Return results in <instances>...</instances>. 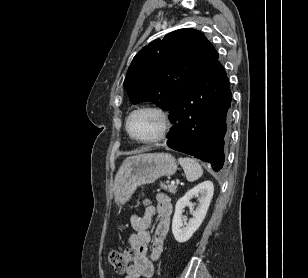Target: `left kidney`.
<instances>
[{
	"label": "left kidney",
	"mask_w": 308,
	"mask_h": 278,
	"mask_svg": "<svg viewBox=\"0 0 308 278\" xmlns=\"http://www.w3.org/2000/svg\"><path fill=\"white\" fill-rule=\"evenodd\" d=\"M213 193V183L211 181H204L195 186L193 189L189 190L182 198L177 201L172 220V233L177 242L184 243L188 241L200 227L206 216L207 210L213 197ZM193 197L198 198L199 205L197 206L196 210L191 211L193 218L188 223H186L185 220L182 219L181 215L183 209L186 206L191 205L190 200Z\"/></svg>",
	"instance_id": "1"
}]
</instances>
